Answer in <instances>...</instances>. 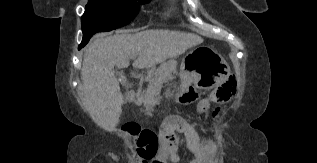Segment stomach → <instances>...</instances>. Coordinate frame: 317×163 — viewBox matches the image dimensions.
<instances>
[{
    "mask_svg": "<svg viewBox=\"0 0 317 163\" xmlns=\"http://www.w3.org/2000/svg\"><path fill=\"white\" fill-rule=\"evenodd\" d=\"M203 51L206 56L194 64L182 63L180 69L181 85L178 89L181 92L192 83L199 85L200 88L210 90L224 82L229 74L230 68L224 58L214 49L205 47ZM173 92L166 91V96H172ZM145 103V95L141 96Z\"/></svg>",
    "mask_w": 317,
    "mask_h": 163,
    "instance_id": "obj_1",
    "label": "stomach"
}]
</instances>
